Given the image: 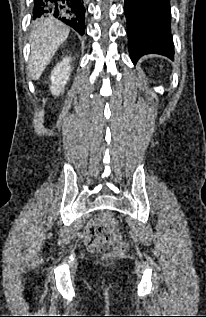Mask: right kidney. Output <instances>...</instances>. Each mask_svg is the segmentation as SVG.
Listing matches in <instances>:
<instances>
[{
  "label": "right kidney",
  "instance_id": "obj_1",
  "mask_svg": "<svg viewBox=\"0 0 206 317\" xmlns=\"http://www.w3.org/2000/svg\"><path fill=\"white\" fill-rule=\"evenodd\" d=\"M71 58L65 57L61 62H59L51 72L50 81L51 86L50 90L53 95H59L63 93L64 87L69 80L71 73L70 66Z\"/></svg>",
  "mask_w": 206,
  "mask_h": 317
}]
</instances>
